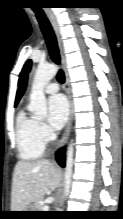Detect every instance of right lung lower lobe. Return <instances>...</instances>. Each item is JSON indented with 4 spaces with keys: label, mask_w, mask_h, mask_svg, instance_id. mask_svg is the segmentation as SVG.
I'll return each mask as SVG.
<instances>
[{
    "label": "right lung lower lobe",
    "mask_w": 123,
    "mask_h": 219,
    "mask_svg": "<svg viewBox=\"0 0 123 219\" xmlns=\"http://www.w3.org/2000/svg\"><path fill=\"white\" fill-rule=\"evenodd\" d=\"M65 149L62 148L60 149L57 153H56V160L58 161V163L64 167L65 166Z\"/></svg>",
    "instance_id": "1"
}]
</instances>
